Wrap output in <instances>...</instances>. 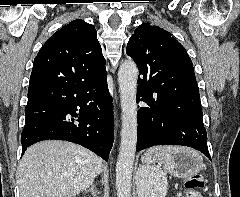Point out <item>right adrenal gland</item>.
Instances as JSON below:
<instances>
[{"instance_id": "right-adrenal-gland-1", "label": "right adrenal gland", "mask_w": 240, "mask_h": 197, "mask_svg": "<svg viewBox=\"0 0 240 197\" xmlns=\"http://www.w3.org/2000/svg\"><path fill=\"white\" fill-rule=\"evenodd\" d=\"M85 192H91L93 197H97L96 185L95 184H91V187L86 189Z\"/></svg>"}]
</instances>
